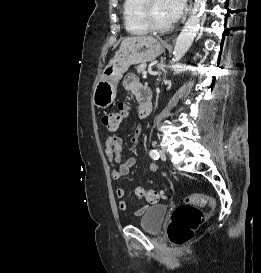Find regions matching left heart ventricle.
<instances>
[{
	"label": "left heart ventricle",
	"mask_w": 261,
	"mask_h": 273,
	"mask_svg": "<svg viewBox=\"0 0 261 273\" xmlns=\"http://www.w3.org/2000/svg\"><path fill=\"white\" fill-rule=\"evenodd\" d=\"M152 12L155 21L159 25H167L172 23L166 0H154Z\"/></svg>",
	"instance_id": "1"
}]
</instances>
